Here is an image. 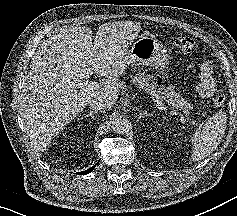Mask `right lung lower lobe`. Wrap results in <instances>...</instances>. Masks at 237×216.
<instances>
[{
    "instance_id": "1",
    "label": "right lung lower lobe",
    "mask_w": 237,
    "mask_h": 216,
    "mask_svg": "<svg viewBox=\"0 0 237 216\" xmlns=\"http://www.w3.org/2000/svg\"><path fill=\"white\" fill-rule=\"evenodd\" d=\"M96 165H94L93 167L89 168L88 170H85V171H82V172H78V174L86 175V174L90 173L95 168Z\"/></svg>"
}]
</instances>
